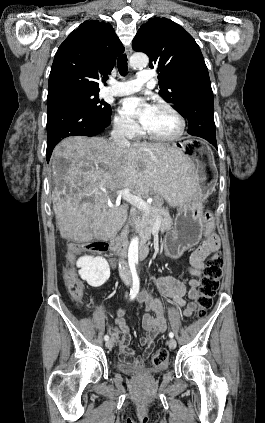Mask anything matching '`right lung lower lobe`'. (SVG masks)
<instances>
[{"mask_svg": "<svg viewBox=\"0 0 265 423\" xmlns=\"http://www.w3.org/2000/svg\"><path fill=\"white\" fill-rule=\"evenodd\" d=\"M110 122V118L97 115L73 101L61 100L47 105V161L62 139L77 135H98Z\"/></svg>", "mask_w": 265, "mask_h": 423, "instance_id": "98d812e1", "label": "right lung lower lobe"}]
</instances>
